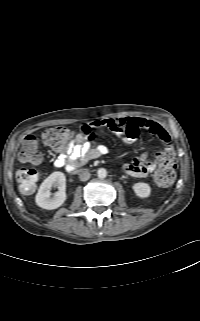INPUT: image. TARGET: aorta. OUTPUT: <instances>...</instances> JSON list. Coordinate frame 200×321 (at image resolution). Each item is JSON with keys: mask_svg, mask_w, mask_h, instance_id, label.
Listing matches in <instances>:
<instances>
[{"mask_svg": "<svg viewBox=\"0 0 200 321\" xmlns=\"http://www.w3.org/2000/svg\"><path fill=\"white\" fill-rule=\"evenodd\" d=\"M97 175L99 178H105L107 176V171L104 168H100L97 171Z\"/></svg>", "mask_w": 200, "mask_h": 321, "instance_id": "obj_1", "label": "aorta"}]
</instances>
